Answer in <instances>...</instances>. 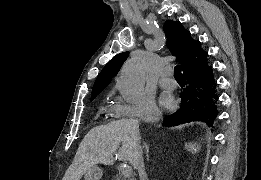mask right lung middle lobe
<instances>
[{"instance_id": "obj_1", "label": "right lung middle lobe", "mask_w": 261, "mask_h": 180, "mask_svg": "<svg viewBox=\"0 0 261 180\" xmlns=\"http://www.w3.org/2000/svg\"><path fill=\"white\" fill-rule=\"evenodd\" d=\"M96 96H93L91 99H94Z\"/></svg>"}]
</instances>
